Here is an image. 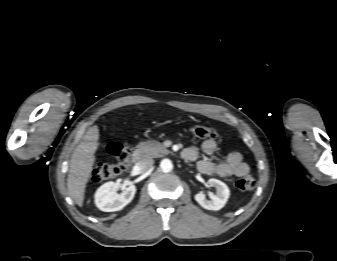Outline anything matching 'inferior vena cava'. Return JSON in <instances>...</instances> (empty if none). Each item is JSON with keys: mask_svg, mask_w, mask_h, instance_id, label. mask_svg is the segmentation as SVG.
I'll return each instance as SVG.
<instances>
[{"mask_svg": "<svg viewBox=\"0 0 337 261\" xmlns=\"http://www.w3.org/2000/svg\"><path fill=\"white\" fill-rule=\"evenodd\" d=\"M154 164L152 159H142L136 163V168L139 172H145L150 169Z\"/></svg>", "mask_w": 337, "mask_h": 261, "instance_id": "602c4592", "label": "inferior vena cava"}]
</instances>
